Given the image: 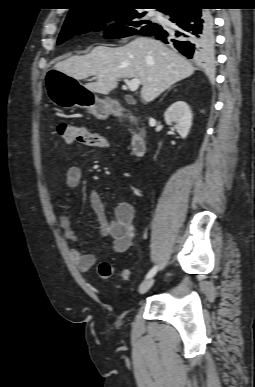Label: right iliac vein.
Wrapping results in <instances>:
<instances>
[{
    "label": "right iliac vein",
    "mask_w": 255,
    "mask_h": 387,
    "mask_svg": "<svg viewBox=\"0 0 255 387\" xmlns=\"http://www.w3.org/2000/svg\"><path fill=\"white\" fill-rule=\"evenodd\" d=\"M153 284H154L153 278H149V279L145 280L144 282L141 283V285L139 287V293L145 294L152 287Z\"/></svg>",
    "instance_id": "right-iliac-vein-1"
}]
</instances>
